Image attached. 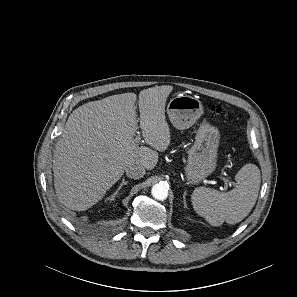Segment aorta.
Returning <instances> with one entry per match:
<instances>
[{"mask_svg":"<svg viewBox=\"0 0 297 297\" xmlns=\"http://www.w3.org/2000/svg\"><path fill=\"white\" fill-rule=\"evenodd\" d=\"M151 194L157 200H165L168 196V186L164 183L155 184L152 187Z\"/></svg>","mask_w":297,"mask_h":297,"instance_id":"762f6f07","label":"aorta"}]
</instances>
